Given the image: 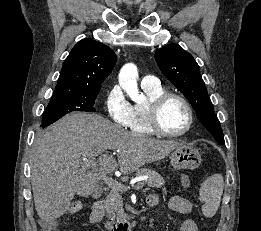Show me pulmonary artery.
Masks as SVG:
<instances>
[{"label":"pulmonary artery","mask_w":261,"mask_h":231,"mask_svg":"<svg viewBox=\"0 0 261 231\" xmlns=\"http://www.w3.org/2000/svg\"><path fill=\"white\" fill-rule=\"evenodd\" d=\"M142 87H157L159 85L157 77L154 75H145L141 81Z\"/></svg>","instance_id":"e3ab8cb5"}]
</instances>
